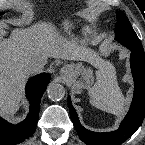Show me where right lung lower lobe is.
Returning <instances> with one entry per match:
<instances>
[{
  "instance_id": "right-lung-lower-lobe-1",
  "label": "right lung lower lobe",
  "mask_w": 145,
  "mask_h": 145,
  "mask_svg": "<svg viewBox=\"0 0 145 145\" xmlns=\"http://www.w3.org/2000/svg\"><path fill=\"white\" fill-rule=\"evenodd\" d=\"M50 78L49 74L42 73L28 81L26 95L30 102V108L24 121L13 125L0 117V145H17L32 136L38 121L40 100Z\"/></svg>"
}]
</instances>
